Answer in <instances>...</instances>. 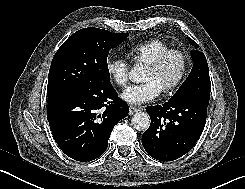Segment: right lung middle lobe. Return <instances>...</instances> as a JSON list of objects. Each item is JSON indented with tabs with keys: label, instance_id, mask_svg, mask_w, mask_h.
<instances>
[{
	"label": "right lung middle lobe",
	"instance_id": "dd1d6c3e",
	"mask_svg": "<svg viewBox=\"0 0 245 189\" xmlns=\"http://www.w3.org/2000/svg\"><path fill=\"white\" fill-rule=\"evenodd\" d=\"M128 35L92 27L75 32L53 57L48 77V98L87 90L99 82L110 81L109 50L117 47Z\"/></svg>",
	"mask_w": 245,
	"mask_h": 189
}]
</instances>
